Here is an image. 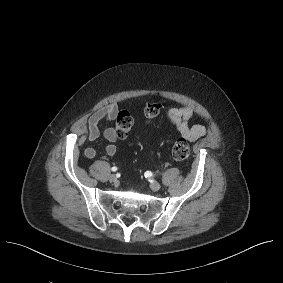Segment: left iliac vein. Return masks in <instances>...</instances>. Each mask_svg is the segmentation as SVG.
Returning <instances> with one entry per match:
<instances>
[{
    "mask_svg": "<svg viewBox=\"0 0 283 283\" xmlns=\"http://www.w3.org/2000/svg\"><path fill=\"white\" fill-rule=\"evenodd\" d=\"M150 188L153 190V191H158L160 188H161V185L160 183L158 182H152L150 184Z\"/></svg>",
    "mask_w": 283,
    "mask_h": 283,
    "instance_id": "1",
    "label": "left iliac vein"
}]
</instances>
